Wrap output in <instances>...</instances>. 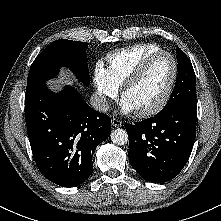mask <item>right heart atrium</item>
Masks as SVG:
<instances>
[{"label":"right heart atrium","mask_w":221,"mask_h":221,"mask_svg":"<svg viewBox=\"0 0 221 221\" xmlns=\"http://www.w3.org/2000/svg\"><path fill=\"white\" fill-rule=\"evenodd\" d=\"M92 80L96 90L98 107L105 109L108 106V99L116 96L118 86L113 82L107 70L99 64L94 67Z\"/></svg>","instance_id":"obj_1"}]
</instances>
